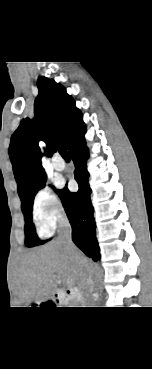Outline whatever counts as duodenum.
Segmentation results:
<instances>
[{
    "label": "duodenum",
    "instance_id": "duodenum-1",
    "mask_svg": "<svg viewBox=\"0 0 152 369\" xmlns=\"http://www.w3.org/2000/svg\"><path fill=\"white\" fill-rule=\"evenodd\" d=\"M56 297L60 299H64L67 301H76L81 302L83 300V296L81 292L77 288H70L65 292L57 293Z\"/></svg>",
    "mask_w": 152,
    "mask_h": 369
}]
</instances>
